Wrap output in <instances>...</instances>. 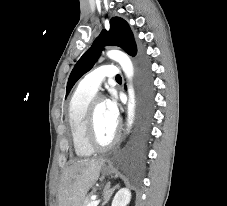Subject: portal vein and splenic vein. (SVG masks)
Here are the masks:
<instances>
[{"label":"portal vein and splenic vein","instance_id":"1","mask_svg":"<svg viewBox=\"0 0 227 206\" xmlns=\"http://www.w3.org/2000/svg\"><path fill=\"white\" fill-rule=\"evenodd\" d=\"M99 203H100V200H93L90 203H88L87 206H98Z\"/></svg>","mask_w":227,"mask_h":206}]
</instances>
